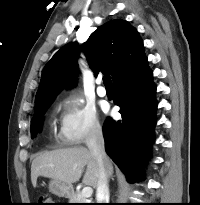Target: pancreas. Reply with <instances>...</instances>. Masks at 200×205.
Listing matches in <instances>:
<instances>
[{"label": "pancreas", "instance_id": "1", "mask_svg": "<svg viewBox=\"0 0 200 205\" xmlns=\"http://www.w3.org/2000/svg\"><path fill=\"white\" fill-rule=\"evenodd\" d=\"M69 203H90L89 201L86 200L85 197L82 196L81 193H72L71 196L69 197Z\"/></svg>", "mask_w": 200, "mask_h": 205}]
</instances>
